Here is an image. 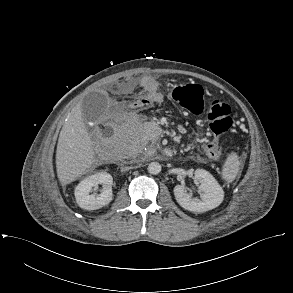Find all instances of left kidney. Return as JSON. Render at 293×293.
Listing matches in <instances>:
<instances>
[{"label":"left kidney","instance_id":"obj_1","mask_svg":"<svg viewBox=\"0 0 293 293\" xmlns=\"http://www.w3.org/2000/svg\"><path fill=\"white\" fill-rule=\"evenodd\" d=\"M194 177L200 183L201 200L192 198L185 186L176 185L174 195L178 204L193 212H205L218 207L223 201L224 191L217 180L204 169H197Z\"/></svg>","mask_w":293,"mask_h":293}]
</instances>
